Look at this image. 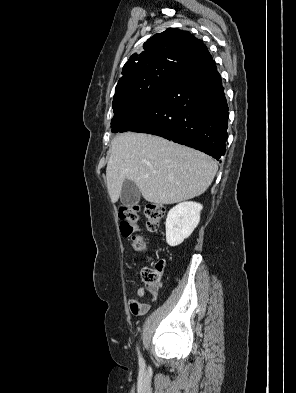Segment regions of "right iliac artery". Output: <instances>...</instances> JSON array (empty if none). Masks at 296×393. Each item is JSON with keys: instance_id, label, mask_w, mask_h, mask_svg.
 Masks as SVG:
<instances>
[{"instance_id": "right-iliac-artery-1", "label": "right iliac artery", "mask_w": 296, "mask_h": 393, "mask_svg": "<svg viewBox=\"0 0 296 393\" xmlns=\"http://www.w3.org/2000/svg\"><path fill=\"white\" fill-rule=\"evenodd\" d=\"M138 355H139V364H140V365H143V364H144V361H143V359H142V357H141V355H140L139 350H138Z\"/></svg>"}]
</instances>
